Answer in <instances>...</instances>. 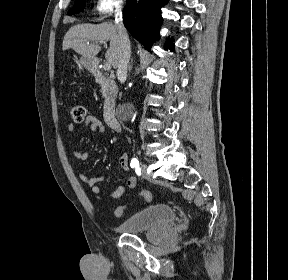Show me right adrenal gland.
<instances>
[{
    "label": "right adrenal gland",
    "mask_w": 288,
    "mask_h": 280,
    "mask_svg": "<svg viewBox=\"0 0 288 280\" xmlns=\"http://www.w3.org/2000/svg\"><path fill=\"white\" fill-rule=\"evenodd\" d=\"M132 62H133V59H131V63H130V65H129V71L132 70Z\"/></svg>",
    "instance_id": "1"
}]
</instances>
